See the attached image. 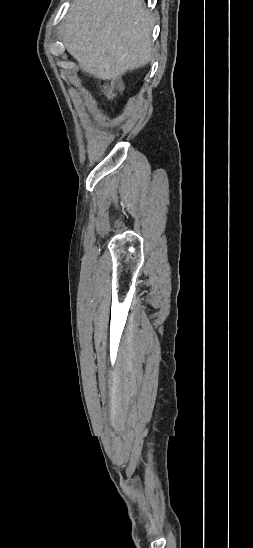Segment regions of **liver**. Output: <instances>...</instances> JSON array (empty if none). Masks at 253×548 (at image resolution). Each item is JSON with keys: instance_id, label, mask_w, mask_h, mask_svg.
<instances>
[{"instance_id": "1", "label": "liver", "mask_w": 253, "mask_h": 548, "mask_svg": "<svg viewBox=\"0 0 253 548\" xmlns=\"http://www.w3.org/2000/svg\"><path fill=\"white\" fill-rule=\"evenodd\" d=\"M153 26L144 0H75L62 39L84 72L114 80L152 60Z\"/></svg>"}]
</instances>
